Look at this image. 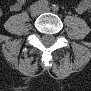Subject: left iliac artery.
<instances>
[{
	"label": "left iliac artery",
	"mask_w": 91,
	"mask_h": 91,
	"mask_svg": "<svg viewBox=\"0 0 91 91\" xmlns=\"http://www.w3.org/2000/svg\"><path fill=\"white\" fill-rule=\"evenodd\" d=\"M52 9H53L54 11H58V10H59V6L56 5V4H54L53 7H52Z\"/></svg>",
	"instance_id": "44dca946"
}]
</instances>
